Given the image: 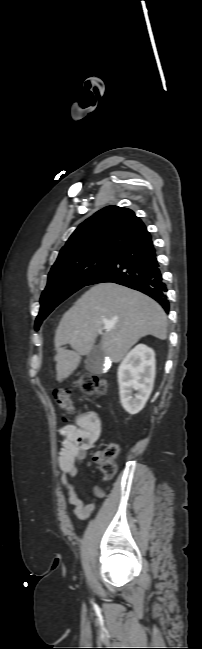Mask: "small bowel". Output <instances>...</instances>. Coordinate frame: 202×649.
I'll list each match as a JSON object with an SVG mask.
<instances>
[{
	"instance_id": "small-bowel-1",
	"label": "small bowel",
	"mask_w": 202,
	"mask_h": 649,
	"mask_svg": "<svg viewBox=\"0 0 202 649\" xmlns=\"http://www.w3.org/2000/svg\"><path fill=\"white\" fill-rule=\"evenodd\" d=\"M102 421L97 413L88 411L79 414L73 424H66L61 429L62 449L58 456L61 470L60 481L67 490L69 503L74 507V514L81 520H87L99 507L105 492L99 486L92 488V500L85 504L79 497L71 480L78 474V464L87 456L88 451L99 440L102 434Z\"/></svg>"
}]
</instances>
